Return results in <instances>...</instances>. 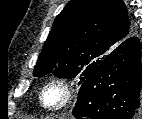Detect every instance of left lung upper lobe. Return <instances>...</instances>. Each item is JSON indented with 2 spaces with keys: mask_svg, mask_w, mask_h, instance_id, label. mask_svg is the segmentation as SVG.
Wrapping results in <instances>:
<instances>
[{
  "mask_svg": "<svg viewBox=\"0 0 142 119\" xmlns=\"http://www.w3.org/2000/svg\"><path fill=\"white\" fill-rule=\"evenodd\" d=\"M134 31L122 0H71L56 17L33 75H79L81 85Z\"/></svg>",
  "mask_w": 142,
  "mask_h": 119,
  "instance_id": "5c2ea615",
  "label": "left lung upper lobe"
}]
</instances>
